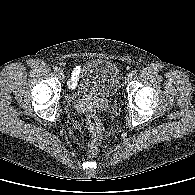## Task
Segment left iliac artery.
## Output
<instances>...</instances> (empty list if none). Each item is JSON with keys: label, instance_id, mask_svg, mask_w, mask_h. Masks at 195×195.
Listing matches in <instances>:
<instances>
[{"label": "left iliac artery", "instance_id": "44dca946", "mask_svg": "<svg viewBox=\"0 0 195 195\" xmlns=\"http://www.w3.org/2000/svg\"><path fill=\"white\" fill-rule=\"evenodd\" d=\"M135 74H136V71H132V72H131V75H135Z\"/></svg>", "mask_w": 195, "mask_h": 195}]
</instances>
